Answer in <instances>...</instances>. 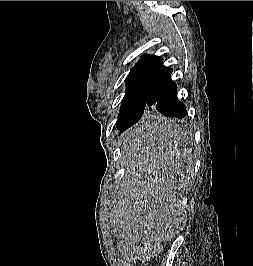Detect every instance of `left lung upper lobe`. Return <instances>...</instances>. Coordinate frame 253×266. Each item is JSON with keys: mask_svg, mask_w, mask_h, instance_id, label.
I'll list each match as a JSON object with an SVG mask.
<instances>
[{"mask_svg": "<svg viewBox=\"0 0 253 266\" xmlns=\"http://www.w3.org/2000/svg\"><path fill=\"white\" fill-rule=\"evenodd\" d=\"M161 63L162 58L145 55L131 69L126 78V93L117 124L130 127L152 117L151 114H146L145 106L149 89Z\"/></svg>", "mask_w": 253, "mask_h": 266, "instance_id": "5c2ea615", "label": "left lung upper lobe"}]
</instances>
